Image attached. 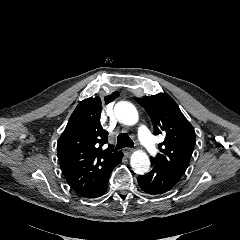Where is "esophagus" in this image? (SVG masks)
<instances>
[{
  "instance_id": "obj_1",
  "label": "esophagus",
  "mask_w": 240,
  "mask_h": 240,
  "mask_svg": "<svg viewBox=\"0 0 240 240\" xmlns=\"http://www.w3.org/2000/svg\"><path fill=\"white\" fill-rule=\"evenodd\" d=\"M132 152H133V148H132V147H126V148H124V153H125L127 156H130Z\"/></svg>"
}]
</instances>
